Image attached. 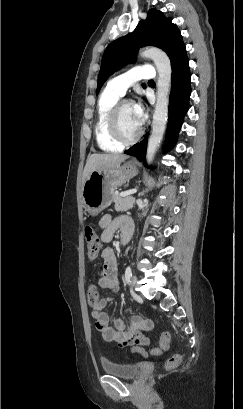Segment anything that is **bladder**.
<instances>
[{
  "instance_id": "1",
  "label": "bladder",
  "mask_w": 243,
  "mask_h": 409,
  "mask_svg": "<svg viewBox=\"0 0 243 409\" xmlns=\"http://www.w3.org/2000/svg\"><path fill=\"white\" fill-rule=\"evenodd\" d=\"M102 369L108 375H113L123 379H134L141 372L139 364L116 363L104 360Z\"/></svg>"
}]
</instances>
